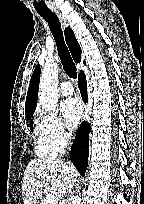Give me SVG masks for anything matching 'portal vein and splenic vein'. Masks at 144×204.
Masks as SVG:
<instances>
[{
  "mask_svg": "<svg viewBox=\"0 0 144 204\" xmlns=\"http://www.w3.org/2000/svg\"><path fill=\"white\" fill-rule=\"evenodd\" d=\"M58 201V195L55 191L50 192L45 198V204H56Z\"/></svg>",
  "mask_w": 144,
  "mask_h": 204,
  "instance_id": "1",
  "label": "portal vein and splenic vein"
}]
</instances>
